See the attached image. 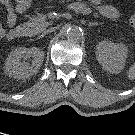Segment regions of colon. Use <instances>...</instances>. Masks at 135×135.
<instances>
[{"label":"colon","instance_id":"obj_1","mask_svg":"<svg viewBox=\"0 0 135 135\" xmlns=\"http://www.w3.org/2000/svg\"><path fill=\"white\" fill-rule=\"evenodd\" d=\"M129 23L133 28H135V13L131 14L129 18Z\"/></svg>","mask_w":135,"mask_h":135}]
</instances>
